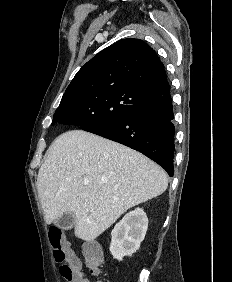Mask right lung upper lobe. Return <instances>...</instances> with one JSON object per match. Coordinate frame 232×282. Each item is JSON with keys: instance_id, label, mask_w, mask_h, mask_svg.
Here are the masks:
<instances>
[{"instance_id": "1", "label": "right lung upper lobe", "mask_w": 232, "mask_h": 282, "mask_svg": "<svg viewBox=\"0 0 232 282\" xmlns=\"http://www.w3.org/2000/svg\"><path fill=\"white\" fill-rule=\"evenodd\" d=\"M130 89L152 100L169 90L164 65L140 39H122L99 52L77 72L61 101L92 92Z\"/></svg>"}]
</instances>
